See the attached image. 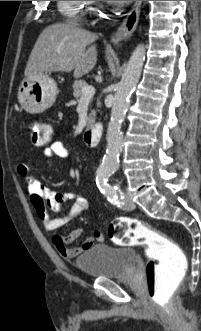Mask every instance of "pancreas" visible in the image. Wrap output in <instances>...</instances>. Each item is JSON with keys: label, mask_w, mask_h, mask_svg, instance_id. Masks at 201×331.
<instances>
[{"label": "pancreas", "mask_w": 201, "mask_h": 331, "mask_svg": "<svg viewBox=\"0 0 201 331\" xmlns=\"http://www.w3.org/2000/svg\"><path fill=\"white\" fill-rule=\"evenodd\" d=\"M88 86V84L84 81V80H76L73 84V96L76 98L77 101L80 100V98L82 97V89L84 87ZM95 115L96 112L95 111H91V113L89 114V118H88V126L92 125L95 121Z\"/></svg>", "instance_id": "obj_1"}]
</instances>
